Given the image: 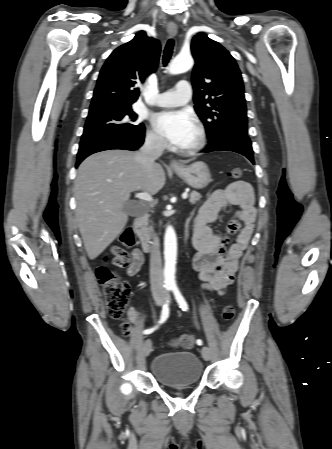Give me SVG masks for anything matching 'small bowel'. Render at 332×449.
Returning a JSON list of instances; mask_svg holds the SVG:
<instances>
[{
  "label": "small bowel",
  "mask_w": 332,
  "mask_h": 449,
  "mask_svg": "<svg viewBox=\"0 0 332 449\" xmlns=\"http://www.w3.org/2000/svg\"><path fill=\"white\" fill-rule=\"evenodd\" d=\"M228 205H235L238 210L227 229L238 230L236 241L227 247L224 237L216 233L211 224L225 211ZM256 211L251 187L245 182L231 183L227 188L215 191L199 208L192 221L193 245L197 251L194 268L206 290L223 293L234 283L239 268V261L247 248L253 233ZM128 263L124 266L129 276H135L144 262L142 253L133 249L124 250ZM134 323H139L138 315L131 311Z\"/></svg>",
  "instance_id": "1"
}]
</instances>
